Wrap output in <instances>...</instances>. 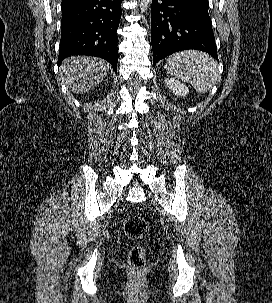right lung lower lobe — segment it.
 <instances>
[{
    "label": "right lung lower lobe",
    "instance_id": "1",
    "mask_svg": "<svg viewBox=\"0 0 272 303\" xmlns=\"http://www.w3.org/2000/svg\"><path fill=\"white\" fill-rule=\"evenodd\" d=\"M122 0H80L62 7L58 65L71 55L101 57L117 73Z\"/></svg>",
    "mask_w": 272,
    "mask_h": 303
}]
</instances>
